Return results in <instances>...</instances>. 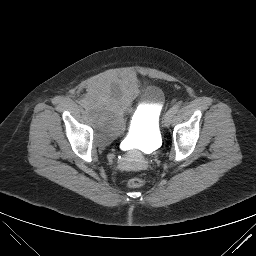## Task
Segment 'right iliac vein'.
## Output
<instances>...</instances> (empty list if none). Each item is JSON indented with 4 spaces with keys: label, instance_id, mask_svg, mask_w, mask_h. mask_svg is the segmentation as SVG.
<instances>
[{
    "label": "right iliac vein",
    "instance_id": "1",
    "mask_svg": "<svg viewBox=\"0 0 256 256\" xmlns=\"http://www.w3.org/2000/svg\"><path fill=\"white\" fill-rule=\"evenodd\" d=\"M83 110H84L85 112H89V111L91 110V107H90L89 105H85V106L83 107Z\"/></svg>",
    "mask_w": 256,
    "mask_h": 256
}]
</instances>
